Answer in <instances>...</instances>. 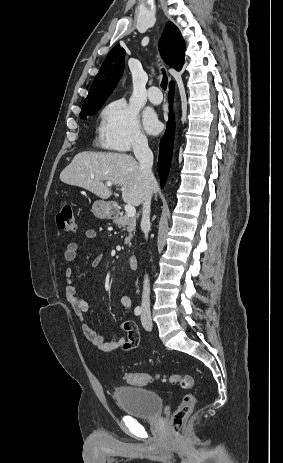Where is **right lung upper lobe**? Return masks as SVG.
Segmentation results:
<instances>
[{
  "mask_svg": "<svg viewBox=\"0 0 283 463\" xmlns=\"http://www.w3.org/2000/svg\"><path fill=\"white\" fill-rule=\"evenodd\" d=\"M159 49L164 61L177 71L184 64L185 43L178 28L168 22L159 41ZM125 50L117 44L108 54L96 75L83 107L106 101L120 80L123 69Z\"/></svg>",
  "mask_w": 283,
  "mask_h": 463,
  "instance_id": "1",
  "label": "right lung upper lobe"
}]
</instances>
